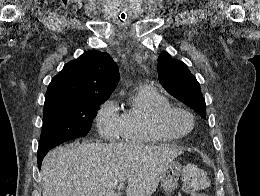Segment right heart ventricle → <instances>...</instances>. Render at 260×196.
<instances>
[{
  "instance_id": "obj_1",
  "label": "right heart ventricle",
  "mask_w": 260,
  "mask_h": 196,
  "mask_svg": "<svg viewBox=\"0 0 260 196\" xmlns=\"http://www.w3.org/2000/svg\"><path fill=\"white\" fill-rule=\"evenodd\" d=\"M169 99L158 89L148 84H137L128 93L122 109V129L137 132L132 139L119 143H168L178 138L154 127V111L170 107ZM92 192H111V190H92Z\"/></svg>"
}]
</instances>
